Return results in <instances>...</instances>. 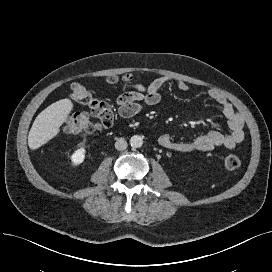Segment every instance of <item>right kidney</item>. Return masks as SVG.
Instances as JSON below:
<instances>
[{
    "instance_id": "1",
    "label": "right kidney",
    "mask_w": 272,
    "mask_h": 272,
    "mask_svg": "<svg viewBox=\"0 0 272 272\" xmlns=\"http://www.w3.org/2000/svg\"><path fill=\"white\" fill-rule=\"evenodd\" d=\"M85 148H79L77 149L71 156V161L74 165L81 164L85 159Z\"/></svg>"
}]
</instances>
